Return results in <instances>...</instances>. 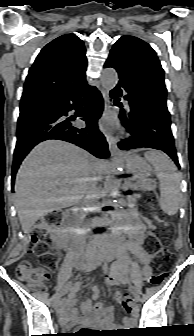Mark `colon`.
<instances>
[{
    "label": "colon",
    "mask_w": 194,
    "mask_h": 336,
    "mask_svg": "<svg viewBox=\"0 0 194 336\" xmlns=\"http://www.w3.org/2000/svg\"><path fill=\"white\" fill-rule=\"evenodd\" d=\"M143 211L148 216L152 232L146 238V246L154 256H161L167 262L170 259L169 252L164 245L172 239V229L165 221L158 204L148 199L143 204ZM51 219H40L36 223L34 232L31 234V252L37 256H48L50 254L51 240L48 234V224ZM165 273L160 272L151 275L147 282L158 284ZM16 276L26 283L30 288L43 291L46 288L50 274L44 266H36L27 260L20 261L16 266Z\"/></svg>",
    "instance_id": "5ec220e1"
}]
</instances>
